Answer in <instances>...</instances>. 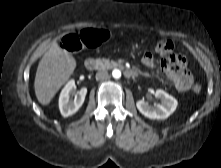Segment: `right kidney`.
Returning a JSON list of instances; mask_svg holds the SVG:
<instances>
[{"label":"right kidney","mask_w":221,"mask_h":168,"mask_svg":"<svg viewBox=\"0 0 221 168\" xmlns=\"http://www.w3.org/2000/svg\"><path fill=\"white\" fill-rule=\"evenodd\" d=\"M76 85L74 80H70L62 89L59 97V109L63 117H69L75 114L82 106L87 94V88H81L75 99L70 100V96L74 93Z\"/></svg>","instance_id":"right-kidney-1"}]
</instances>
